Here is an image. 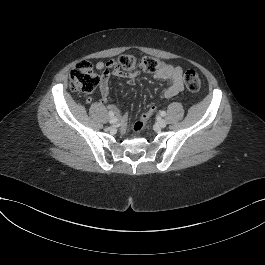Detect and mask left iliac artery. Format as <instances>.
<instances>
[{"label": "left iliac artery", "instance_id": "1", "mask_svg": "<svg viewBox=\"0 0 265 265\" xmlns=\"http://www.w3.org/2000/svg\"><path fill=\"white\" fill-rule=\"evenodd\" d=\"M160 114H161V116H163V117L166 116V112H165V111H161Z\"/></svg>", "mask_w": 265, "mask_h": 265}]
</instances>
